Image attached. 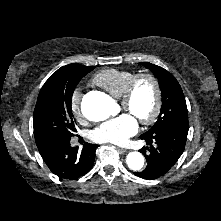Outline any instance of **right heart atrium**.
<instances>
[{"instance_id": "d8ad5b80", "label": "right heart atrium", "mask_w": 221, "mask_h": 221, "mask_svg": "<svg viewBox=\"0 0 221 221\" xmlns=\"http://www.w3.org/2000/svg\"><path fill=\"white\" fill-rule=\"evenodd\" d=\"M81 98L82 95L79 89H75L70 96V109L76 117H81L83 115L81 110Z\"/></svg>"}]
</instances>
